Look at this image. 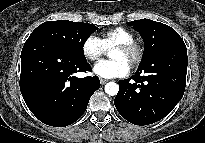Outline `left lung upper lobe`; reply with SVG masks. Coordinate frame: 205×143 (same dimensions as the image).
Listing matches in <instances>:
<instances>
[{"mask_svg": "<svg viewBox=\"0 0 205 143\" xmlns=\"http://www.w3.org/2000/svg\"><path fill=\"white\" fill-rule=\"evenodd\" d=\"M130 24L134 25V29L140 33L145 43V50L138 68L139 70L156 65V54L158 52L168 44L182 40L173 28L160 22L140 19L132 21ZM162 62L159 64L160 67L166 63V61Z\"/></svg>", "mask_w": 205, "mask_h": 143, "instance_id": "1", "label": "left lung upper lobe"}]
</instances>
